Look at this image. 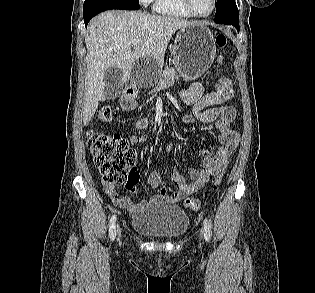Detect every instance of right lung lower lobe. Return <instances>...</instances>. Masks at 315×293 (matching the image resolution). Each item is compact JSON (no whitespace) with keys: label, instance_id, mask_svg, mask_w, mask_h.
<instances>
[{"label":"right lung lower lobe","instance_id":"98d812e1","mask_svg":"<svg viewBox=\"0 0 315 293\" xmlns=\"http://www.w3.org/2000/svg\"><path fill=\"white\" fill-rule=\"evenodd\" d=\"M139 4H130L121 0H85L84 3V23L87 26L88 22L95 15L110 9L120 10H136L139 9Z\"/></svg>","mask_w":315,"mask_h":293}]
</instances>
